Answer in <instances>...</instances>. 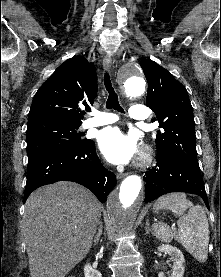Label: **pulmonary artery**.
<instances>
[{
	"label": "pulmonary artery",
	"mask_w": 221,
	"mask_h": 277,
	"mask_svg": "<svg viewBox=\"0 0 221 277\" xmlns=\"http://www.w3.org/2000/svg\"><path fill=\"white\" fill-rule=\"evenodd\" d=\"M149 116L148 108L144 105H134L130 108L129 117L133 120L143 121ZM118 120L115 114L109 112L93 111L92 117L84 121L83 128H92L114 123Z\"/></svg>",
	"instance_id": "1"
}]
</instances>
